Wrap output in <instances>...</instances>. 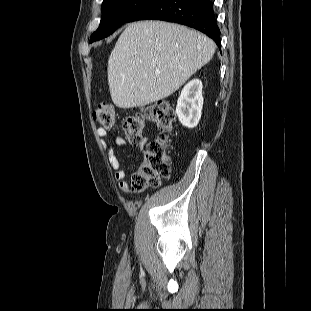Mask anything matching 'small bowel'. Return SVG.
I'll return each instance as SVG.
<instances>
[{
  "label": "small bowel",
  "instance_id": "1",
  "mask_svg": "<svg viewBox=\"0 0 311 311\" xmlns=\"http://www.w3.org/2000/svg\"><path fill=\"white\" fill-rule=\"evenodd\" d=\"M96 135L100 140V145L108 159L110 167L115 172V180L118 182L119 189L125 194L131 193V185L129 181L126 179L125 171L121 168L120 161L116 155L114 145L111 144L107 139L106 130L103 128H97ZM147 142H148L147 138L144 137L142 141L137 144V146L142 152H144L147 146ZM114 144L116 146H123L126 144V141L123 137L117 136L114 140Z\"/></svg>",
  "mask_w": 311,
  "mask_h": 311
}]
</instances>
